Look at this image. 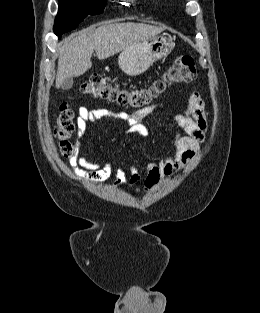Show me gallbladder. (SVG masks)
I'll list each match as a JSON object with an SVG mask.
<instances>
[{"label": "gallbladder", "instance_id": "bac80fb5", "mask_svg": "<svg viewBox=\"0 0 260 313\" xmlns=\"http://www.w3.org/2000/svg\"><path fill=\"white\" fill-rule=\"evenodd\" d=\"M73 86V78L69 77L64 79L63 83L61 84V88L63 90H69Z\"/></svg>", "mask_w": 260, "mask_h": 313}]
</instances>
